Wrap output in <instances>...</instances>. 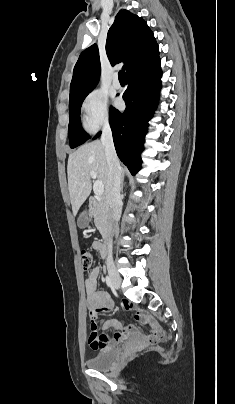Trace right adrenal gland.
I'll return each mask as SVG.
<instances>
[{
	"label": "right adrenal gland",
	"instance_id": "obj_1",
	"mask_svg": "<svg viewBox=\"0 0 235 404\" xmlns=\"http://www.w3.org/2000/svg\"><path fill=\"white\" fill-rule=\"evenodd\" d=\"M124 179H125V175H123L121 178V191L123 190V187H124Z\"/></svg>",
	"mask_w": 235,
	"mask_h": 404
}]
</instances>
